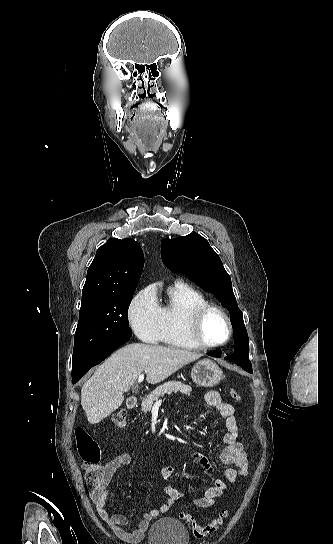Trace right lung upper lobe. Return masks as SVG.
Here are the masks:
<instances>
[{"mask_svg": "<svg viewBox=\"0 0 333 544\" xmlns=\"http://www.w3.org/2000/svg\"><path fill=\"white\" fill-rule=\"evenodd\" d=\"M143 266V251L136 241L109 239L98 248L88 268L81 304L107 294L135 291Z\"/></svg>", "mask_w": 333, "mask_h": 544, "instance_id": "1", "label": "right lung upper lobe"}]
</instances>
